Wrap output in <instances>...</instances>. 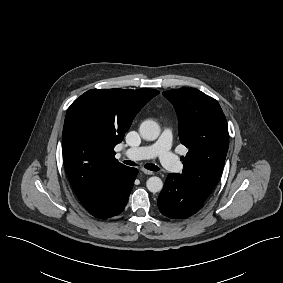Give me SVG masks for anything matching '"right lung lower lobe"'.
<instances>
[{"mask_svg":"<svg viewBox=\"0 0 283 283\" xmlns=\"http://www.w3.org/2000/svg\"><path fill=\"white\" fill-rule=\"evenodd\" d=\"M137 174L136 168L121 169L103 183L95 203L86 210L101 219L120 214L127 204Z\"/></svg>","mask_w":283,"mask_h":283,"instance_id":"obj_1","label":"right lung lower lobe"}]
</instances>
